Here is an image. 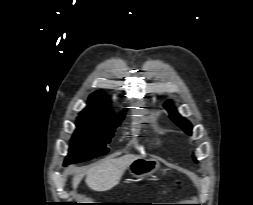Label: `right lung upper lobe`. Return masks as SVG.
<instances>
[{"label":"right lung upper lobe","instance_id":"obj_1","mask_svg":"<svg viewBox=\"0 0 253 205\" xmlns=\"http://www.w3.org/2000/svg\"><path fill=\"white\" fill-rule=\"evenodd\" d=\"M80 114L104 118L112 115L108 105V98L101 91L94 92L89 97V105Z\"/></svg>","mask_w":253,"mask_h":205}]
</instances>
